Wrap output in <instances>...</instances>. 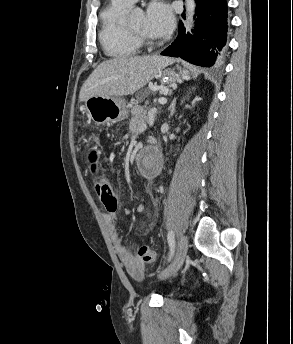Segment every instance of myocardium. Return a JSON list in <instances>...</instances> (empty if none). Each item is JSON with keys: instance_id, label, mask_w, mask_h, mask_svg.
Instances as JSON below:
<instances>
[{"instance_id": "f54148a6", "label": "myocardium", "mask_w": 293, "mask_h": 344, "mask_svg": "<svg viewBox=\"0 0 293 344\" xmlns=\"http://www.w3.org/2000/svg\"><path fill=\"white\" fill-rule=\"evenodd\" d=\"M126 31L127 33L134 38L139 44H151V40L146 36L141 33H137L133 30H131L128 26H126Z\"/></svg>"}]
</instances>
